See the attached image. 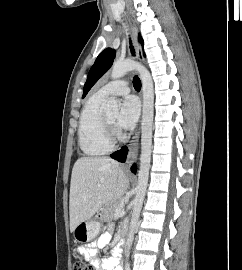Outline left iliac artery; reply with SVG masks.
Here are the masks:
<instances>
[{
    "instance_id": "44dca946",
    "label": "left iliac artery",
    "mask_w": 242,
    "mask_h": 270,
    "mask_svg": "<svg viewBox=\"0 0 242 270\" xmlns=\"http://www.w3.org/2000/svg\"><path fill=\"white\" fill-rule=\"evenodd\" d=\"M126 270H130V268H129V267H127V268H126Z\"/></svg>"
}]
</instances>
